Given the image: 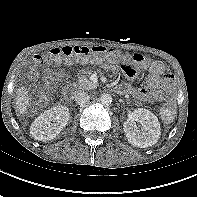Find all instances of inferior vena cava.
Here are the masks:
<instances>
[{
    "instance_id": "obj_1",
    "label": "inferior vena cava",
    "mask_w": 197,
    "mask_h": 197,
    "mask_svg": "<svg viewBox=\"0 0 197 197\" xmlns=\"http://www.w3.org/2000/svg\"><path fill=\"white\" fill-rule=\"evenodd\" d=\"M89 100V95L86 92L79 91L75 94V101L78 105H83Z\"/></svg>"
}]
</instances>
